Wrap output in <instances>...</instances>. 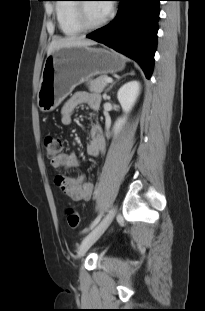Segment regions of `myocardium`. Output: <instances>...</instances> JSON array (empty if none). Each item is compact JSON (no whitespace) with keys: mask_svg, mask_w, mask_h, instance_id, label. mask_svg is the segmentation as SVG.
<instances>
[{"mask_svg":"<svg viewBox=\"0 0 205 311\" xmlns=\"http://www.w3.org/2000/svg\"><path fill=\"white\" fill-rule=\"evenodd\" d=\"M84 0H79L74 6V15L78 25L84 31H94L102 28L107 24L110 19V14L108 13L106 17L96 24L88 23L86 16H85V3Z\"/></svg>","mask_w":205,"mask_h":311,"instance_id":"f54148a6","label":"myocardium"}]
</instances>
